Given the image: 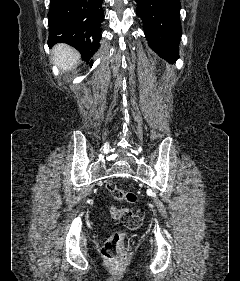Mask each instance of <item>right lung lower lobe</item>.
I'll return each mask as SVG.
<instances>
[{"label": "right lung lower lobe", "mask_w": 240, "mask_h": 281, "mask_svg": "<svg viewBox=\"0 0 240 281\" xmlns=\"http://www.w3.org/2000/svg\"><path fill=\"white\" fill-rule=\"evenodd\" d=\"M103 0H50L48 45L67 43L88 60L99 48Z\"/></svg>", "instance_id": "1"}]
</instances>
